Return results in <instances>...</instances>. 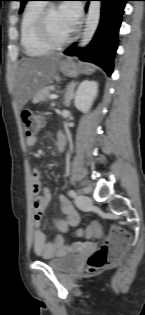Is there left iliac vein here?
<instances>
[{
    "label": "left iliac vein",
    "mask_w": 145,
    "mask_h": 315,
    "mask_svg": "<svg viewBox=\"0 0 145 315\" xmlns=\"http://www.w3.org/2000/svg\"><path fill=\"white\" fill-rule=\"evenodd\" d=\"M75 202H76L77 206L81 209L88 208L92 204L91 198L85 194H81V195L77 196L75 199Z\"/></svg>",
    "instance_id": "1"
}]
</instances>
